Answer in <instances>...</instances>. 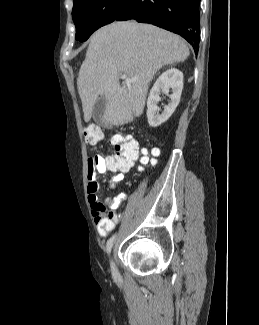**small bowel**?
Listing matches in <instances>:
<instances>
[{
  "instance_id": "obj_1",
  "label": "small bowel",
  "mask_w": 259,
  "mask_h": 325,
  "mask_svg": "<svg viewBox=\"0 0 259 325\" xmlns=\"http://www.w3.org/2000/svg\"><path fill=\"white\" fill-rule=\"evenodd\" d=\"M136 143V142H135ZM137 144V143H136ZM152 152H159L157 148H154ZM137 157L129 161L126 165H123L121 160L116 155H96L91 158V163L88 160V201L92 207L93 214L96 219V226L100 236L105 237L112 231L115 224L118 222L119 217L115 213V210L125 200L126 195L121 193L116 197H108L105 200V204L99 202L97 193L99 191V184L97 182L98 174H107L108 172H115L108 185L111 189H115L124 179L126 173L134 166ZM109 206L111 212L108 217H105L106 208Z\"/></svg>"
}]
</instances>
